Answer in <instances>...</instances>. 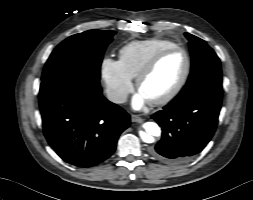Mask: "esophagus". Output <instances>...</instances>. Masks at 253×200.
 I'll list each match as a JSON object with an SVG mask.
<instances>
[{"instance_id": "34e87169", "label": "esophagus", "mask_w": 253, "mask_h": 200, "mask_svg": "<svg viewBox=\"0 0 253 200\" xmlns=\"http://www.w3.org/2000/svg\"><path fill=\"white\" fill-rule=\"evenodd\" d=\"M132 122L142 123L144 120L138 115H131Z\"/></svg>"}]
</instances>
